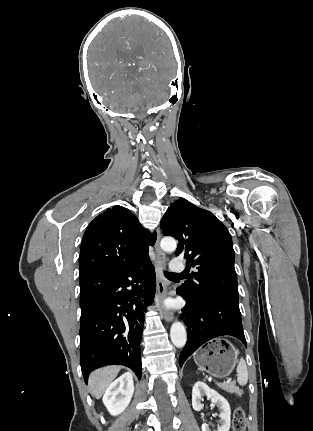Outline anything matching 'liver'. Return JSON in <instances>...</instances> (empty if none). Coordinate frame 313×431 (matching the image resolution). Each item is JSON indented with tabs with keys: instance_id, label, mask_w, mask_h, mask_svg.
Here are the masks:
<instances>
[{
	"instance_id": "liver-1",
	"label": "liver",
	"mask_w": 313,
	"mask_h": 431,
	"mask_svg": "<svg viewBox=\"0 0 313 431\" xmlns=\"http://www.w3.org/2000/svg\"><path fill=\"white\" fill-rule=\"evenodd\" d=\"M120 366H108L95 370L89 378V389L93 397L99 399L105 390L116 378L120 371Z\"/></svg>"
}]
</instances>
